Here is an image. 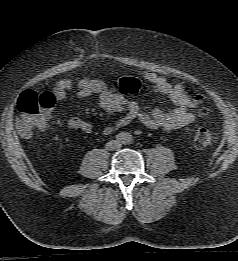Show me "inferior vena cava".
I'll use <instances>...</instances> for the list:
<instances>
[{"label": "inferior vena cava", "instance_id": "obj_1", "mask_svg": "<svg viewBox=\"0 0 238 261\" xmlns=\"http://www.w3.org/2000/svg\"><path fill=\"white\" fill-rule=\"evenodd\" d=\"M109 150H117L121 147V144L118 141H111L106 145Z\"/></svg>", "mask_w": 238, "mask_h": 261}]
</instances>
